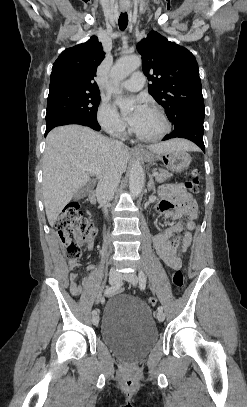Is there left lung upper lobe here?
Segmentation results:
<instances>
[{"label":"left lung upper lobe","mask_w":247,"mask_h":407,"mask_svg":"<svg viewBox=\"0 0 247 407\" xmlns=\"http://www.w3.org/2000/svg\"><path fill=\"white\" fill-rule=\"evenodd\" d=\"M148 91L166 110L173 124L190 113L205 114L199 68L187 49L155 31L137 44Z\"/></svg>","instance_id":"left-lung-upper-lobe-1"}]
</instances>
